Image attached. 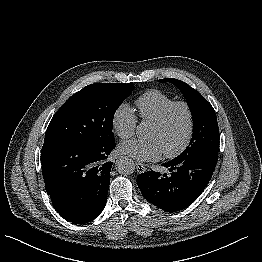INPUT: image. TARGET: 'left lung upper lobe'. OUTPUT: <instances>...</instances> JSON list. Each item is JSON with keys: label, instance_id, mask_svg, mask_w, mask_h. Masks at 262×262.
Returning a JSON list of instances; mask_svg holds the SVG:
<instances>
[{"label": "left lung upper lobe", "instance_id": "5c2ea615", "mask_svg": "<svg viewBox=\"0 0 262 262\" xmlns=\"http://www.w3.org/2000/svg\"><path fill=\"white\" fill-rule=\"evenodd\" d=\"M160 82L175 84L184 94L190 107L194 129L189 146L178 157L216 156L219 148V129L212 105L195 89L183 81L165 78Z\"/></svg>", "mask_w": 262, "mask_h": 262}]
</instances>
